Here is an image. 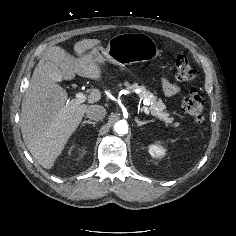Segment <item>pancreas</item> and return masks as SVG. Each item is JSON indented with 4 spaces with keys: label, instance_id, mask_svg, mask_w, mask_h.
<instances>
[{
    "label": "pancreas",
    "instance_id": "1",
    "mask_svg": "<svg viewBox=\"0 0 236 236\" xmlns=\"http://www.w3.org/2000/svg\"><path fill=\"white\" fill-rule=\"evenodd\" d=\"M124 85L131 92H135L136 89H140L138 95L140 98L148 100L149 110L153 116L165 122L166 125L170 124L175 128L179 126L178 122L173 123L174 118L169 117V112L165 110L166 106L163 101L161 99L158 100L157 97L153 93L147 91L144 86H139L137 83L130 85L128 82H125Z\"/></svg>",
    "mask_w": 236,
    "mask_h": 236
}]
</instances>
